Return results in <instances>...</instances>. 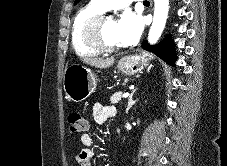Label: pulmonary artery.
<instances>
[{
	"label": "pulmonary artery",
	"instance_id": "1",
	"mask_svg": "<svg viewBox=\"0 0 227 166\" xmlns=\"http://www.w3.org/2000/svg\"><path fill=\"white\" fill-rule=\"evenodd\" d=\"M103 10L121 9L132 4L134 0H93ZM144 1V0H142Z\"/></svg>",
	"mask_w": 227,
	"mask_h": 166
}]
</instances>
